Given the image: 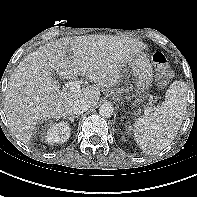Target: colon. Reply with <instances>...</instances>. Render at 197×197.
Returning <instances> with one entry per match:
<instances>
[{
	"label": "colon",
	"mask_w": 197,
	"mask_h": 197,
	"mask_svg": "<svg viewBox=\"0 0 197 197\" xmlns=\"http://www.w3.org/2000/svg\"><path fill=\"white\" fill-rule=\"evenodd\" d=\"M151 60L156 69L158 83L162 86L168 84L171 80L172 73L166 56L159 51H155L151 55Z\"/></svg>",
	"instance_id": "obj_1"
}]
</instances>
